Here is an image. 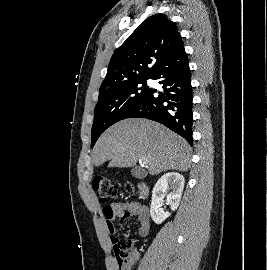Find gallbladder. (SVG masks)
Wrapping results in <instances>:
<instances>
[{"instance_id":"bac80fb5","label":"gallbladder","mask_w":267,"mask_h":270,"mask_svg":"<svg viewBox=\"0 0 267 270\" xmlns=\"http://www.w3.org/2000/svg\"><path fill=\"white\" fill-rule=\"evenodd\" d=\"M131 173L134 177L138 178V179H142L144 178L147 174H146V171L138 168V167H134L132 170H131Z\"/></svg>"}]
</instances>
